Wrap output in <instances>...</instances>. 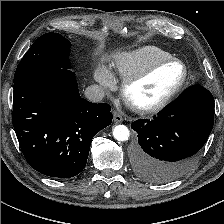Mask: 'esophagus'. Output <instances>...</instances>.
I'll use <instances>...</instances> for the list:
<instances>
[{"label":"esophagus","mask_w":224,"mask_h":224,"mask_svg":"<svg viewBox=\"0 0 224 224\" xmlns=\"http://www.w3.org/2000/svg\"><path fill=\"white\" fill-rule=\"evenodd\" d=\"M113 120L115 123H121L123 121V117L118 112H114Z\"/></svg>","instance_id":"esophagus-1"}]
</instances>
